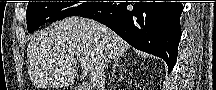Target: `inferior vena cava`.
<instances>
[{"label":"inferior vena cava","mask_w":216,"mask_h":90,"mask_svg":"<svg viewBox=\"0 0 216 90\" xmlns=\"http://www.w3.org/2000/svg\"><path fill=\"white\" fill-rule=\"evenodd\" d=\"M107 62L108 60H104V62H102V64H100L99 68H98V82H97V88L96 90H105V74H106V70H107Z\"/></svg>","instance_id":"obj_1"}]
</instances>
